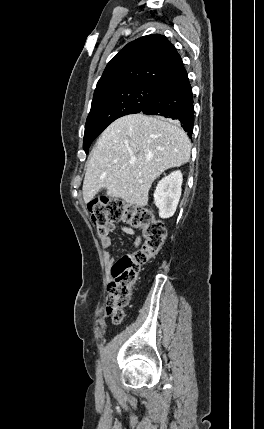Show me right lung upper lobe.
Returning a JSON list of instances; mask_svg holds the SVG:
<instances>
[{
  "label": "right lung upper lobe",
  "instance_id": "right-lung-upper-lobe-1",
  "mask_svg": "<svg viewBox=\"0 0 264 429\" xmlns=\"http://www.w3.org/2000/svg\"><path fill=\"white\" fill-rule=\"evenodd\" d=\"M181 64L180 55L165 36L141 37L128 43L108 63L97 83L94 98L137 84L158 86Z\"/></svg>",
  "mask_w": 264,
  "mask_h": 429
}]
</instances>
